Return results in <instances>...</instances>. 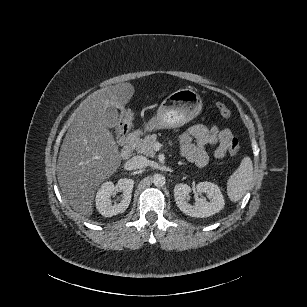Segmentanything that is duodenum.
I'll list each match as a JSON object with an SVG mask.
<instances>
[{"mask_svg": "<svg viewBox=\"0 0 307 307\" xmlns=\"http://www.w3.org/2000/svg\"><path fill=\"white\" fill-rule=\"evenodd\" d=\"M138 136H139V133L134 131V132H131L126 137L124 145H123L121 153H120L122 159L126 160V159L131 157L133 150H134V147H135V144H136V141L138 139Z\"/></svg>", "mask_w": 307, "mask_h": 307, "instance_id": "410a0bca", "label": "duodenum"}]
</instances>
